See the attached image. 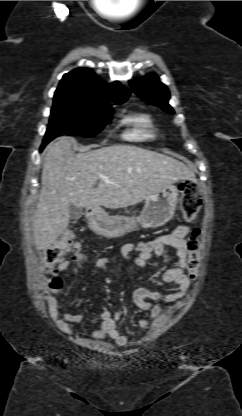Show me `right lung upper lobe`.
Segmentation results:
<instances>
[{"instance_id":"cb5924a9","label":"right lung upper lobe","mask_w":242,"mask_h":416,"mask_svg":"<svg viewBox=\"0 0 242 416\" xmlns=\"http://www.w3.org/2000/svg\"><path fill=\"white\" fill-rule=\"evenodd\" d=\"M130 91L119 82L104 83L95 73L86 68H77L65 74L54 94V100L75 102H120Z\"/></svg>"}]
</instances>
